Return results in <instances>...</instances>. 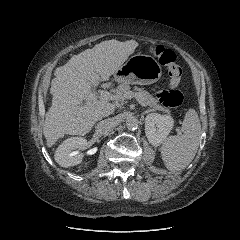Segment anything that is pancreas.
Wrapping results in <instances>:
<instances>
[{
  "label": "pancreas",
  "mask_w": 240,
  "mask_h": 240,
  "mask_svg": "<svg viewBox=\"0 0 240 240\" xmlns=\"http://www.w3.org/2000/svg\"><path fill=\"white\" fill-rule=\"evenodd\" d=\"M131 87L127 84V83H122L120 84L117 89H116V95H117V100L123 104L124 101L126 100L125 98V94L127 92H132ZM134 90L136 92H132L134 94H137L140 99L145 103V105L153 108V110H159V111H163L166 113H170V110L162 105H160L157 101V99H155L152 95H150L147 91L138 88V87H134Z\"/></svg>",
  "instance_id": "obj_1"
}]
</instances>
